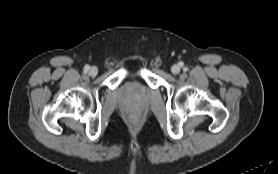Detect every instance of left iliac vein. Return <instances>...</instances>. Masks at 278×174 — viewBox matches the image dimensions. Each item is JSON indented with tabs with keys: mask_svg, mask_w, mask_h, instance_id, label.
I'll use <instances>...</instances> for the list:
<instances>
[{
	"mask_svg": "<svg viewBox=\"0 0 278 174\" xmlns=\"http://www.w3.org/2000/svg\"><path fill=\"white\" fill-rule=\"evenodd\" d=\"M171 72H172L173 74H178V73L180 72V67H179L178 65H173V66L171 67Z\"/></svg>",
	"mask_w": 278,
	"mask_h": 174,
	"instance_id": "obj_1",
	"label": "left iliac vein"
}]
</instances>
